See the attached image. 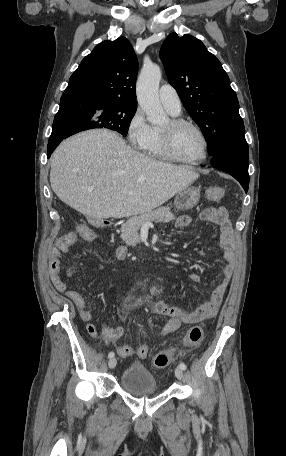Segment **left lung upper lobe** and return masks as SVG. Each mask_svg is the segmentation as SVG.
Returning <instances> with one entry per match:
<instances>
[{
  "label": "left lung upper lobe",
  "mask_w": 286,
  "mask_h": 456,
  "mask_svg": "<svg viewBox=\"0 0 286 456\" xmlns=\"http://www.w3.org/2000/svg\"><path fill=\"white\" fill-rule=\"evenodd\" d=\"M170 84L200 126L208 141V153L248 149L239 115L236 93L220 61L197 38L168 35L160 49Z\"/></svg>",
  "instance_id": "obj_1"
}]
</instances>
